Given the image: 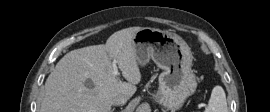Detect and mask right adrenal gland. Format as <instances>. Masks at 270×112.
<instances>
[{"label":"right adrenal gland","instance_id":"obj_1","mask_svg":"<svg viewBox=\"0 0 270 112\" xmlns=\"http://www.w3.org/2000/svg\"><path fill=\"white\" fill-rule=\"evenodd\" d=\"M115 108H113L110 112H114Z\"/></svg>","mask_w":270,"mask_h":112}]
</instances>
